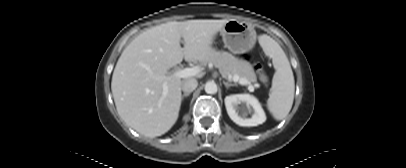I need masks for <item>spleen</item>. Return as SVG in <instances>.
I'll return each mask as SVG.
<instances>
[{
  "mask_svg": "<svg viewBox=\"0 0 406 168\" xmlns=\"http://www.w3.org/2000/svg\"><path fill=\"white\" fill-rule=\"evenodd\" d=\"M260 44L267 56L272 58L276 72L272 79L267 107L276 120L284 119L290 112L295 92V81L289 60L280 45L263 35Z\"/></svg>",
  "mask_w": 406,
  "mask_h": 168,
  "instance_id": "obj_1",
  "label": "spleen"
}]
</instances>
